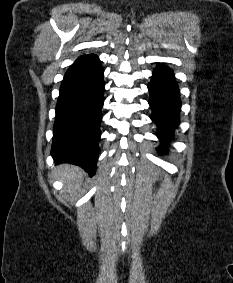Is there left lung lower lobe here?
<instances>
[{
	"label": "left lung lower lobe",
	"instance_id": "0a47b994",
	"mask_svg": "<svg viewBox=\"0 0 233 283\" xmlns=\"http://www.w3.org/2000/svg\"><path fill=\"white\" fill-rule=\"evenodd\" d=\"M148 89L149 105L152 108L151 119L158 127L159 138L162 141L159 149L162 151L167 147L166 143L179 124L181 101L173 71L164 65L157 66Z\"/></svg>",
	"mask_w": 233,
	"mask_h": 283
}]
</instances>
